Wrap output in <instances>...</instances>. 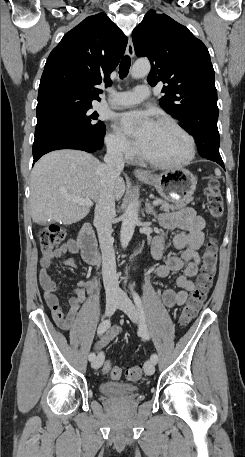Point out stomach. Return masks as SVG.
Returning a JSON list of instances; mask_svg holds the SVG:
<instances>
[{"instance_id": "stomach-1", "label": "stomach", "mask_w": 245, "mask_h": 457, "mask_svg": "<svg viewBox=\"0 0 245 457\" xmlns=\"http://www.w3.org/2000/svg\"><path fill=\"white\" fill-rule=\"evenodd\" d=\"M145 184H153L159 194L169 202H182L192 198L196 188V176L187 168H169L161 174H153L152 180L140 178Z\"/></svg>"}]
</instances>
